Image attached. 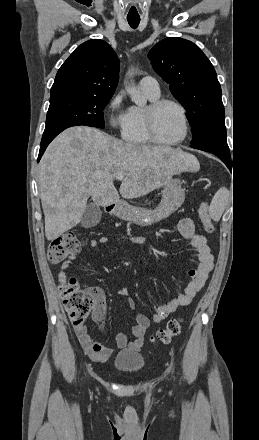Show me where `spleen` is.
I'll return each mask as SVG.
<instances>
[{
  "mask_svg": "<svg viewBox=\"0 0 259 440\" xmlns=\"http://www.w3.org/2000/svg\"><path fill=\"white\" fill-rule=\"evenodd\" d=\"M230 191L226 187H221L214 195L210 208H209V214L210 217L214 221H219L225 207L230 199Z\"/></svg>",
  "mask_w": 259,
  "mask_h": 440,
  "instance_id": "3e777b00",
  "label": "spleen"
}]
</instances>
